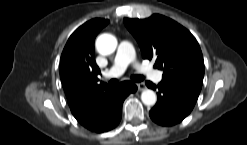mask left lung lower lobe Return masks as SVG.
Wrapping results in <instances>:
<instances>
[{"mask_svg": "<svg viewBox=\"0 0 247 145\" xmlns=\"http://www.w3.org/2000/svg\"><path fill=\"white\" fill-rule=\"evenodd\" d=\"M146 85L157 90L158 100L149 112L151 119L162 126H172L181 122L192 111L200 91L181 82L163 79L156 86Z\"/></svg>", "mask_w": 247, "mask_h": 145, "instance_id": "1", "label": "left lung lower lobe"}]
</instances>
